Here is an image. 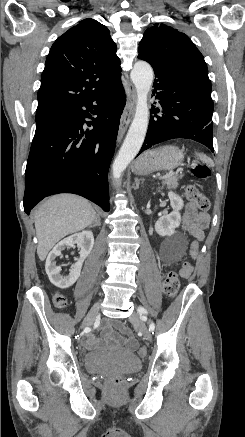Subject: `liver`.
Wrapping results in <instances>:
<instances>
[{"label": "liver", "instance_id": "obj_1", "mask_svg": "<svg viewBox=\"0 0 245 437\" xmlns=\"http://www.w3.org/2000/svg\"><path fill=\"white\" fill-rule=\"evenodd\" d=\"M95 218L92 205L79 196L60 194L47 199L34 213L39 259L45 260L58 241L90 226Z\"/></svg>", "mask_w": 245, "mask_h": 437}]
</instances>
